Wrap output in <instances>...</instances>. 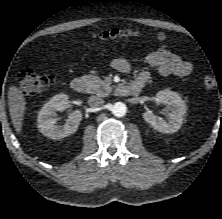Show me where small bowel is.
Here are the masks:
<instances>
[{
	"label": "small bowel",
	"mask_w": 222,
	"mask_h": 219,
	"mask_svg": "<svg viewBox=\"0 0 222 219\" xmlns=\"http://www.w3.org/2000/svg\"><path fill=\"white\" fill-rule=\"evenodd\" d=\"M146 63L155 68L162 76H187L193 71V64L190 61L183 59L165 45L150 52L146 56ZM111 66L120 73H128L130 71V63L124 58H114L111 61ZM147 80L148 74L142 72L134 81L144 84Z\"/></svg>",
	"instance_id": "small-bowel-1"
}]
</instances>
